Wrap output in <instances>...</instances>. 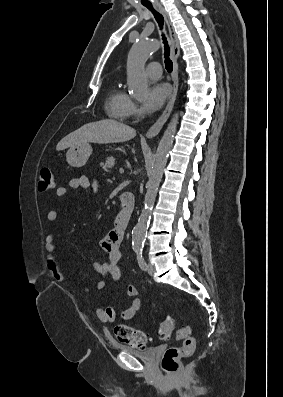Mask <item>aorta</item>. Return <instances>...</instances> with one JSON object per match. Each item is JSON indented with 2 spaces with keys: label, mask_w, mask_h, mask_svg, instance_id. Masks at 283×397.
Masks as SVG:
<instances>
[{
  "label": "aorta",
  "mask_w": 283,
  "mask_h": 397,
  "mask_svg": "<svg viewBox=\"0 0 283 397\" xmlns=\"http://www.w3.org/2000/svg\"><path fill=\"white\" fill-rule=\"evenodd\" d=\"M158 48L159 43L157 41L143 40L135 43L128 54L127 84L132 96L137 99H143L149 91L144 67L148 57ZM178 117V113L173 115L158 144L157 151L153 158L152 168L147 182L144 207L132 231V247L134 250H141L144 244L163 170L173 146Z\"/></svg>",
  "instance_id": "aorta-1"
}]
</instances>
